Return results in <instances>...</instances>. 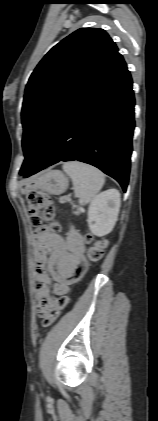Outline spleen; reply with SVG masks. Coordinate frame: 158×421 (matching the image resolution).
<instances>
[{"mask_svg": "<svg viewBox=\"0 0 158 421\" xmlns=\"http://www.w3.org/2000/svg\"><path fill=\"white\" fill-rule=\"evenodd\" d=\"M64 172L71 178L74 196L81 205L91 203L102 189L105 177L97 168L78 161L63 164Z\"/></svg>", "mask_w": 158, "mask_h": 421, "instance_id": "spleen-1", "label": "spleen"}]
</instances>
